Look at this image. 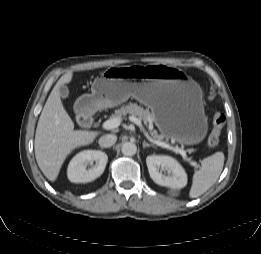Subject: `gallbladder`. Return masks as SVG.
Segmentation results:
<instances>
[{"mask_svg":"<svg viewBox=\"0 0 261 254\" xmlns=\"http://www.w3.org/2000/svg\"><path fill=\"white\" fill-rule=\"evenodd\" d=\"M59 92H60V96L64 99H67L69 97V90L67 88V86L62 85L59 88Z\"/></svg>","mask_w":261,"mask_h":254,"instance_id":"obj_1","label":"gallbladder"}]
</instances>
